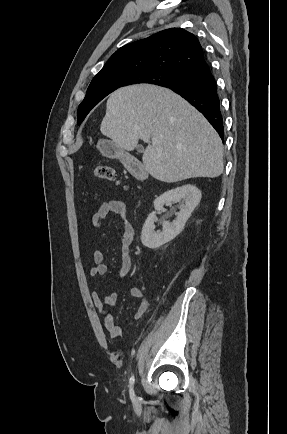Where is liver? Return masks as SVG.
Here are the masks:
<instances>
[{
    "instance_id": "1",
    "label": "liver",
    "mask_w": 287,
    "mask_h": 434,
    "mask_svg": "<svg viewBox=\"0 0 287 434\" xmlns=\"http://www.w3.org/2000/svg\"><path fill=\"white\" fill-rule=\"evenodd\" d=\"M100 130L127 151L134 150L139 139L148 143L144 167L162 182L215 178L224 169L217 132L199 111L166 88L134 85L116 90L107 101Z\"/></svg>"
}]
</instances>
